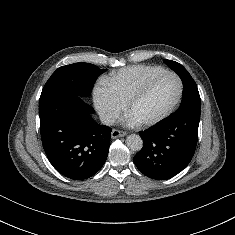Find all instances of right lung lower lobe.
Instances as JSON below:
<instances>
[{"label": "right lung lower lobe", "mask_w": 235, "mask_h": 235, "mask_svg": "<svg viewBox=\"0 0 235 235\" xmlns=\"http://www.w3.org/2000/svg\"><path fill=\"white\" fill-rule=\"evenodd\" d=\"M94 109L77 95H59L39 103L43 148L62 175L82 180L105 163L112 129L96 123Z\"/></svg>", "instance_id": "1"}]
</instances>
